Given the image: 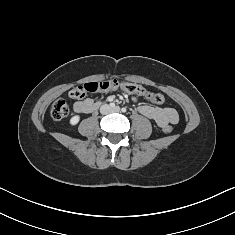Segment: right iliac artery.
<instances>
[{
	"label": "right iliac artery",
	"mask_w": 235,
	"mask_h": 235,
	"mask_svg": "<svg viewBox=\"0 0 235 235\" xmlns=\"http://www.w3.org/2000/svg\"><path fill=\"white\" fill-rule=\"evenodd\" d=\"M110 107L114 108L115 104L114 103H110Z\"/></svg>",
	"instance_id": "1"
}]
</instances>
